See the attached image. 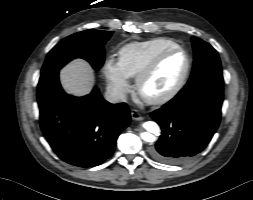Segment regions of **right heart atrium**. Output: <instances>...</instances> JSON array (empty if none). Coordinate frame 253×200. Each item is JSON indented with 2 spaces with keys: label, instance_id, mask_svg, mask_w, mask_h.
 Instances as JSON below:
<instances>
[{
  "label": "right heart atrium",
  "instance_id": "d8ad5b80",
  "mask_svg": "<svg viewBox=\"0 0 253 200\" xmlns=\"http://www.w3.org/2000/svg\"><path fill=\"white\" fill-rule=\"evenodd\" d=\"M103 74L112 96L117 100H123L129 93L131 85L129 77L123 71L119 61L113 57L107 58Z\"/></svg>",
  "mask_w": 253,
  "mask_h": 200
}]
</instances>
